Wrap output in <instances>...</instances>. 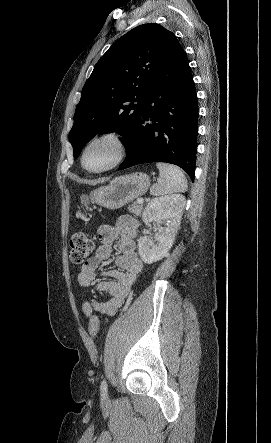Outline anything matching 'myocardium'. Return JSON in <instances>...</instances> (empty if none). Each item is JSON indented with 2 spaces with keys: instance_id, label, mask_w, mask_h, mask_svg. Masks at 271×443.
I'll use <instances>...</instances> for the list:
<instances>
[{
  "instance_id": "f54148a6",
  "label": "myocardium",
  "mask_w": 271,
  "mask_h": 443,
  "mask_svg": "<svg viewBox=\"0 0 271 443\" xmlns=\"http://www.w3.org/2000/svg\"><path fill=\"white\" fill-rule=\"evenodd\" d=\"M101 139H111L114 141V143L116 144V147H117L116 157L110 164H108L107 166H105L101 169L88 170L83 165V156H84L85 150L87 149V147L90 144H92L98 140H101ZM127 155H128V143H127V140H126L124 134L117 129H108V130L102 131V132L94 135L84 144V146L82 147L81 152H80L79 163H80L81 168L85 172L90 173V174H99V173L107 172V171L119 166L126 159Z\"/></svg>"
}]
</instances>
